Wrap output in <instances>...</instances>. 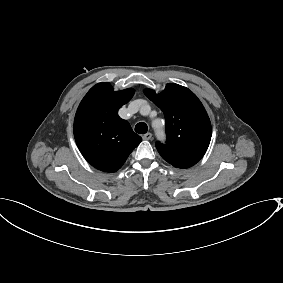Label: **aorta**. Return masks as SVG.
Instances as JSON below:
<instances>
[{
  "label": "aorta",
  "instance_id": "obj_1",
  "mask_svg": "<svg viewBox=\"0 0 283 283\" xmlns=\"http://www.w3.org/2000/svg\"><path fill=\"white\" fill-rule=\"evenodd\" d=\"M157 137H158V138H163V137H164L163 131L158 130V131H157Z\"/></svg>",
  "mask_w": 283,
  "mask_h": 283
}]
</instances>
